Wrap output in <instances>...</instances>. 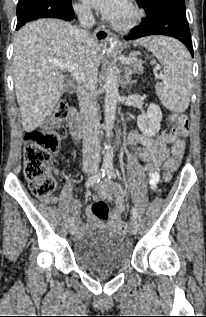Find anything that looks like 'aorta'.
I'll list each match as a JSON object with an SVG mask.
<instances>
[{
    "mask_svg": "<svg viewBox=\"0 0 206 317\" xmlns=\"http://www.w3.org/2000/svg\"><path fill=\"white\" fill-rule=\"evenodd\" d=\"M118 70L116 67H111L108 72V76L105 80V130L107 137H110L115 120L117 101L119 97V82H118ZM104 166L112 165V152L111 146L105 147V154L103 159Z\"/></svg>",
    "mask_w": 206,
    "mask_h": 317,
    "instance_id": "obj_1",
    "label": "aorta"
}]
</instances>
